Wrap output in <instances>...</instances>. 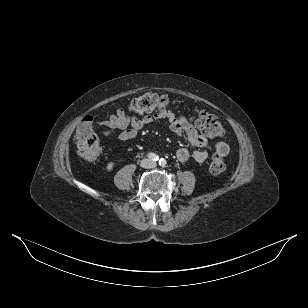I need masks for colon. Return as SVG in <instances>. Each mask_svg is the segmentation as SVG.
I'll return each mask as SVG.
<instances>
[{"mask_svg": "<svg viewBox=\"0 0 308 308\" xmlns=\"http://www.w3.org/2000/svg\"><path fill=\"white\" fill-rule=\"evenodd\" d=\"M174 108V100L167 95L156 93H145L133 99L129 105L130 112L135 114L173 112ZM190 119L203 135L210 138H219L225 134L223 125L212 114L205 111H195ZM96 125L92 116H85L78 125L74 137L78 153L89 161L96 160L101 153L99 139L95 132ZM100 134L110 140L117 136L115 129L107 127L102 128ZM209 169L212 174L224 172L226 169L224 156L214 154Z\"/></svg>", "mask_w": 308, "mask_h": 308, "instance_id": "1", "label": "colon"}]
</instances>
